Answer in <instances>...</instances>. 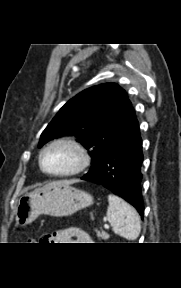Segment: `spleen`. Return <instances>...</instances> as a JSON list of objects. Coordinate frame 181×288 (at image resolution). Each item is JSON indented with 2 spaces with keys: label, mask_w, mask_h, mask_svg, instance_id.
<instances>
[{
  "label": "spleen",
  "mask_w": 181,
  "mask_h": 288,
  "mask_svg": "<svg viewBox=\"0 0 181 288\" xmlns=\"http://www.w3.org/2000/svg\"><path fill=\"white\" fill-rule=\"evenodd\" d=\"M107 219L114 233L128 240L138 238L141 230L140 218L136 210L121 198L109 194Z\"/></svg>",
  "instance_id": "spleen-1"
}]
</instances>
